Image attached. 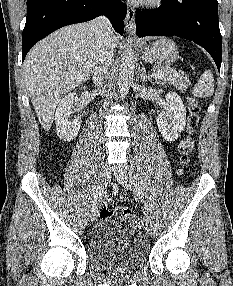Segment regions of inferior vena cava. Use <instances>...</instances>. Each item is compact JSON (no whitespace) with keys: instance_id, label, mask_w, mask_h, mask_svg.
I'll return each mask as SVG.
<instances>
[{"instance_id":"inferior-vena-cava-1","label":"inferior vena cava","mask_w":233,"mask_h":286,"mask_svg":"<svg viewBox=\"0 0 233 286\" xmlns=\"http://www.w3.org/2000/svg\"><path fill=\"white\" fill-rule=\"evenodd\" d=\"M92 26L97 31L96 50L92 63V79L97 87H102L113 62L112 30L109 21L105 17L92 21Z\"/></svg>"}]
</instances>
